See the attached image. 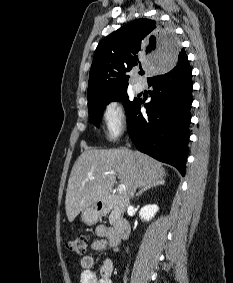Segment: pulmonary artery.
I'll use <instances>...</instances> for the list:
<instances>
[{"label":"pulmonary artery","instance_id":"pulmonary-artery-1","mask_svg":"<svg viewBox=\"0 0 233 283\" xmlns=\"http://www.w3.org/2000/svg\"><path fill=\"white\" fill-rule=\"evenodd\" d=\"M133 89L136 93H140L143 91V86L140 84V83H136L134 86H133Z\"/></svg>","mask_w":233,"mask_h":283}]
</instances>
